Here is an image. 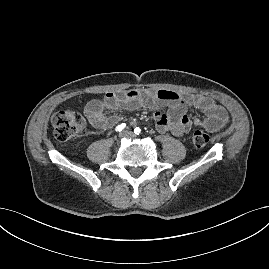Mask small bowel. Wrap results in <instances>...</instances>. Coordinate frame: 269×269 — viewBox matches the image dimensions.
I'll list each match as a JSON object with an SVG mask.
<instances>
[{
    "mask_svg": "<svg viewBox=\"0 0 269 269\" xmlns=\"http://www.w3.org/2000/svg\"><path fill=\"white\" fill-rule=\"evenodd\" d=\"M162 105L168 107L166 113L158 111ZM141 106L156 110L154 120L160 133L170 132L177 137L187 134L192 127L214 132L223 128L229 120L226 109L210 97L191 94L181 96L167 90L108 92L102 99L89 102L85 107V115L95 128L110 130L121 121V117L112 112ZM189 108L201 111L204 117L189 115Z\"/></svg>",
    "mask_w": 269,
    "mask_h": 269,
    "instance_id": "obj_1",
    "label": "small bowel"
}]
</instances>
